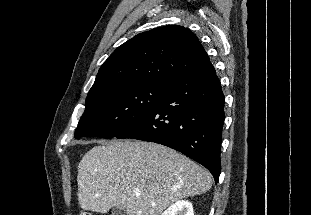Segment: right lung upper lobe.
Masks as SVG:
<instances>
[{
    "mask_svg": "<svg viewBox=\"0 0 311 215\" xmlns=\"http://www.w3.org/2000/svg\"><path fill=\"white\" fill-rule=\"evenodd\" d=\"M211 64L191 30L167 25L140 33L118 47L102 64L88 96L100 90L172 79Z\"/></svg>",
    "mask_w": 311,
    "mask_h": 215,
    "instance_id": "1",
    "label": "right lung upper lobe"
}]
</instances>
